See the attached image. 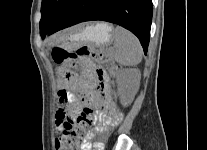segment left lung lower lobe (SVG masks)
Masks as SVG:
<instances>
[{
    "label": "left lung lower lobe",
    "mask_w": 207,
    "mask_h": 150,
    "mask_svg": "<svg viewBox=\"0 0 207 150\" xmlns=\"http://www.w3.org/2000/svg\"><path fill=\"white\" fill-rule=\"evenodd\" d=\"M103 20L118 24L140 40L147 53L152 22V0H75L44 38L80 22Z\"/></svg>",
    "instance_id": "left-lung-lower-lobe-1"
}]
</instances>
